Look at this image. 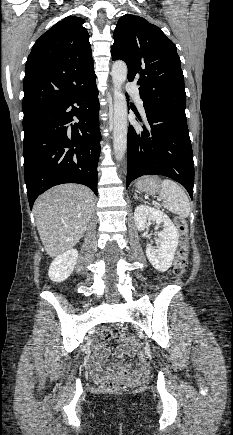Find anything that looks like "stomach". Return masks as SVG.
I'll list each match as a JSON object with an SVG mask.
<instances>
[{
	"label": "stomach",
	"instance_id": "0dacf381",
	"mask_svg": "<svg viewBox=\"0 0 233 435\" xmlns=\"http://www.w3.org/2000/svg\"><path fill=\"white\" fill-rule=\"evenodd\" d=\"M136 188L140 192L154 195L160 192L161 185L157 177H146L136 183Z\"/></svg>",
	"mask_w": 233,
	"mask_h": 435
}]
</instances>
